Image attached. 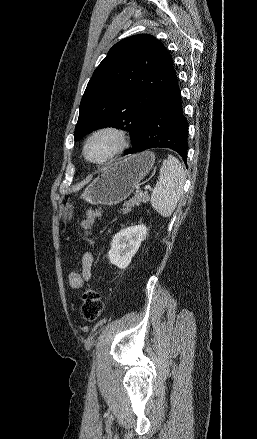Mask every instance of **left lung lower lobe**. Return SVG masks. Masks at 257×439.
Wrapping results in <instances>:
<instances>
[{
	"label": "left lung lower lobe",
	"instance_id": "0a47b994",
	"mask_svg": "<svg viewBox=\"0 0 257 439\" xmlns=\"http://www.w3.org/2000/svg\"><path fill=\"white\" fill-rule=\"evenodd\" d=\"M188 122L182 112L181 95L176 72L144 115L139 140L126 154L150 148H169L187 162Z\"/></svg>",
	"mask_w": 257,
	"mask_h": 439
}]
</instances>
